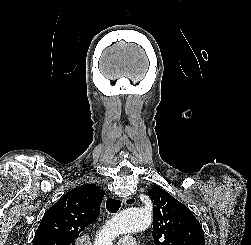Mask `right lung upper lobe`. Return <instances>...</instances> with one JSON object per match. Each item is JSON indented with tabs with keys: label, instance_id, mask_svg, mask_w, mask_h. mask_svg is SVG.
I'll return each instance as SVG.
<instances>
[{
	"label": "right lung upper lobe",
	"instance_id": "1",
	"mask_svg": "<svg viewBox=\"0 0 251 245\" xmlns=\"http://www.w3.org/2000/svg\"><path fill=\"white\" fill-rule=\"evenodd\" d=\"M104 191L84 184L61 197L43 216L33 245H74L100 213Z\"/></svg>",
	"mask_w": 251,
	"mask_h": 245
}]
</instances>
